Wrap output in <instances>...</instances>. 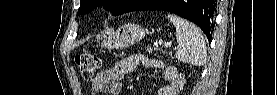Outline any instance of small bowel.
<instances>
[{"label": "small bowel", "mask_w": 277, "mask_h": 95, "mask_svg": "<svg viewBox=\"0 0 277 95\" xmlns=\"http://www.w3.org/2000/svg\"><path fill=\"white\" fill-rule=\"evenodd\" d=\"M139 64L157 68L160 65V61L146 57L142 54H132L117 60L114 65L101 71L97 78L92 82L91 92L92 94H113L118 95L121 91V79L132 72ZM176 76L175 72L164 71L162 78L165 80L172 79ZM169 87L160 88L159 95H170Z\"/></svg>", "instance_id": "1"}]
</instances>
